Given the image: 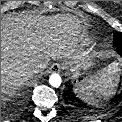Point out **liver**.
<instances>
[{"label": "liver", "mask_w": 122, "mask_h": 122, "mask_svg": "<svg viewBox=\"0 0 122 122\" xmlns=\"http://www.w3.org/2000/svg\"><path fill=\"white\" fill-rule=\"evenodd\" d=\"M84 32L71 15L8 14L1 18V99L12 96L40 62L71 58Z\"/></svg>", "instance_id": "obj_1"}]
</instances>
